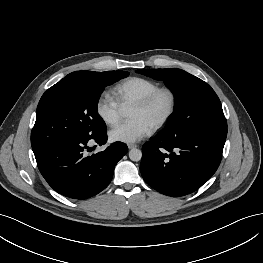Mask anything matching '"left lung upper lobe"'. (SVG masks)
Segmentation results:
<instances>
[{"instance_id": "5c2ea615", "label": "left lung upper lobe", "mask_w": 263, "mask_h": 263, "mask_svg": "<svg viewBox=\"0 0 263 263\" xmlns=\"http://www.w3.org/2000/svg\"><path fill=\"white\" fill-rule=\"evenodd\" d=\"M138 73L163 80L175 95L174 113L162 132L189 134L227 128L221 102L206 82L181 69H140Z\"/></svg>"}]
</instances>
